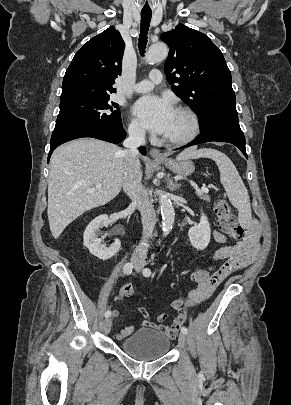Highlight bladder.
<instances>
[{"label":"bladder","mask_w":291,"mask_h":405,"mask_svg":"<svg viewBox=\"0 0 291 405\" xmlns=\"http://www.w3.org/2000/svg\"><path fill=\"white\" fill-rule=\"evenodd\" d=\"M169 347L168 337L151 328H141L119 344L123 353L140 361L159 359L168 352Z\"/></svg>","instance_id":"obj_1"}]
</instances>
